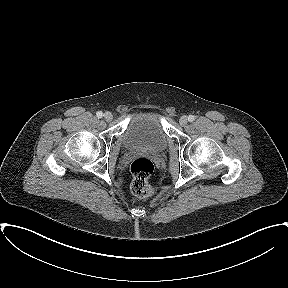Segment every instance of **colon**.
I'll return each mask as SVG.
<instances>
[{
    "mask_svg": "<svg viewBox=\"0 0 288 288\" xmlns=\"http://www.w3.org/2000/svg\"><path fill=\"white\" fill-rule=\"evenodd\" d=\"M133 176L131 192L136 199H146L153 194V188L149 184V177L154 171L152 161L147 158H137L131 164Z\"/></svg>",
    "mask_w": 288,
    "mask_h": 288,
    "instance_id": "1",
    "label": "colon"
}]
</instances>
